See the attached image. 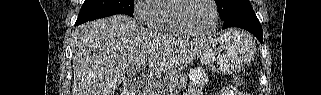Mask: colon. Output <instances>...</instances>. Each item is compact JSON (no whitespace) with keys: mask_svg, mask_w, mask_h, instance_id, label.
I'll list each match as a JSON object with an SVG mask.
<instances>
[{"mask_svg":"<svg viewBox=\"0 0 321 95\" xmlns=\"http://www.w3.org/2000/svg\"><path fill=\"white\" fill-rule=\"evenodd\" d=\"M245 82L244 76L241 74H236L233 76V83L237 86H242Z\"/></svg>","mask_w":321,"mask_h":95,"instance_id":"obj_1","label":"colon"}]
</instances>
